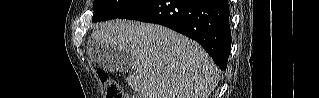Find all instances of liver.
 <instances>
[{"label": "liver", "mask_w": 319, "mask_h": 98, "mask_svg": "<svg viewBox=\"0 0 319 98\" xmlns=\"http://www.w3.org/2000/svg\"><path fill=\"white\" fill-rule=\"evenodd\" d=\"M91 37L92 49L105 45L131 55L126 82L140 98H209L218 84V68L207 52L164 26L112 20Z\"/></svg>", "instance_id": "6515ba94"}]
</instances>
